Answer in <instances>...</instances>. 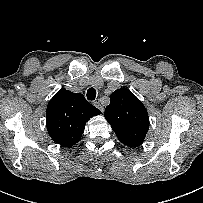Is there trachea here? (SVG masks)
<instances>
[{
  "mask_svg": "<svg viewBox=\"0 0 203 203\" xmlns=\"http://www.w3.org/2000/svg\"><path fill=\"white\" fill-rule=\"evenodd\" d=\"M95 98H96V90L94 88H89L87 90V99L93 101L95 100Z\"/></svg>",
  "mask_w": 203,
  "mask_h": 203,
  "instance_id": "trachea-1",
  "label": "trachea"
}]
</instances>
